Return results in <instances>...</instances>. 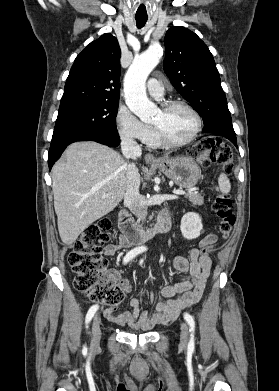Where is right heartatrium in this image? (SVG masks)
<instances>
[{
  "label": "right heart atrium",
  "mask_w": 279,
  "mask_h": 391,
  "mask_svg": "<svg viewBox=\"0 0 279 391\" xmlns=\"http://www.w3.org/2000/svg\"><path fill=\"white\" fill-rule=\"evenodd\" d=\"M116 125L119 135L132 142H147L151 136V127L142 122L126 106L119 107L116 114Z\"/></svg>",
  "instance_id": "right-heart-atrium-1"
}]
</instances>
